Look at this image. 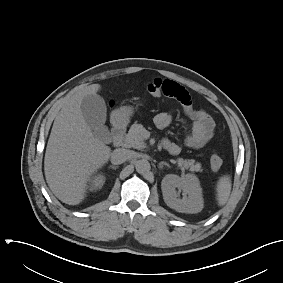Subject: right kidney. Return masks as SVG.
<instances>
[{
    "label": "right kidney",
    "mask_w": 283,
    "mask_h": 283,
    "mask_svg": "<svg viewBox=\"0 0 283 283\" xmlns=\"http://www.w3.org/2000/svg\"><path fill=\"white\" fill-rule=\"evenodd\" d=\"M105 182V177L103 175H97L91 180V190H97L102 188Z\"/></svg>",
    "instance_id": "right-kidney-1"
}]
</instances>
